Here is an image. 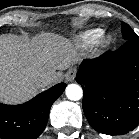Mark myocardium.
Instances as JSON below:
<instances>
[{
  "instance_id": "myocardium-1",
  "label": "myocardium",
  "mask_w": 139,
  "mask_h": 139,
  "mask_svg": "<svg viewBox=\"0 0 139 139\" xmlns=\"http://www.w3.org/2000/svg\"><path fill=\"white\" fill-rule=\"evenodd\" d=\"M115 41V36L112 33H103L98 40V44L102 48L110 47Z\"/></svg>"
}]
</instances>
